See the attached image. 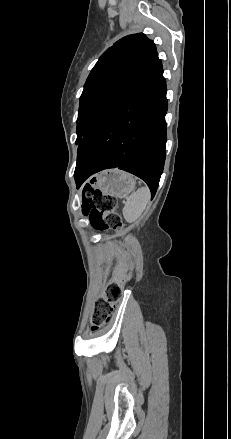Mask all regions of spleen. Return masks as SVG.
I'll list each match as a JSON object with an SVG mask.
<instances>
[{
	"label": "spleen",
	"mask_w": 231,
	"mask_h": 439,
	"mask_svg": "<svg viewBox=\"0 0 231 439\" xmlns=\"http://www.w3.org/2000/svg\"><path fill=\"white\" fill-rule=\"evenodd\" d=\"M150 199V190L147 187H141L133 192L126 200L123 208V216L128 222H135L145 210Z\"/></svg>",
	"instance_id": "1"
}]
</instances>
